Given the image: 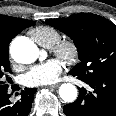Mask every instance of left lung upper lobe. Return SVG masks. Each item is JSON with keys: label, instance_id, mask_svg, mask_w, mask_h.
Returning a JSON list of instances; mask_svg holds the SVG:
<instances>
[{"label": "left lung upper lobe", "instance_id": "left-lung-upper-lobe-1", "mask_svg": "<svg viewBox=\"0 0 116 116\" xmlns=\"http://www.w3.org/2000/svg\"><path fill=\"white\" fill-rule=\"evenodd\" d=\"M46 23L69 36L78 50L80 62L70 73L93 80L116 75V25L92 13L68 18L47 19Z\"/></svg>", "mask_w": 116, "mask_h": 116}]
</instances>
